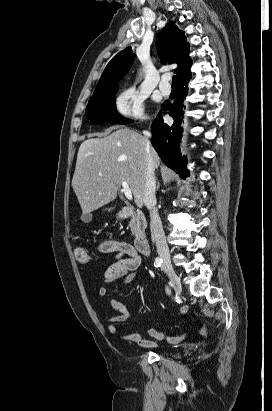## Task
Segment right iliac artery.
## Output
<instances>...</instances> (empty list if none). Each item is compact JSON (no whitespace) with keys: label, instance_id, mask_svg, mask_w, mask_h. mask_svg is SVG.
Returning <instances> with one entry per match:
<instances>
[{"label":"right iliac artery","instance_id":"right-iliac-artery-1","mask_svg":"<svg viewBox=\"0 0 272 411\" xmlns=\"http://www.w3.org/2000/svg\"><path fill=\"white\" fill-rule=\"evenodd\" d=\"M161 264H162V259L159 258V257L156 258L155 261H154V266L157 268V267H160Z\"/></svg>","mask_w":272,"mask_h":411}]
</instances>
